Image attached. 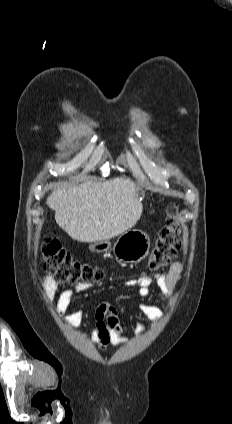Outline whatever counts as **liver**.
<instances>
[{"label": "liver", "mask_w": 232, "mask_h": 424, "mask_svg": "<svg viewBox=\"0 0 232 424\" xmlns=\"http://www.w3.org/2000/svg\"><path fill=\"white\" fill-rule=\"evenodd\" d=\"M136 184L125 178L104 182L88 180L70 188H57L47 198L55 220L80 242L109 240L132 228L143 206Z\"/></svg>", "instance_id": "1"}]
</instances>
